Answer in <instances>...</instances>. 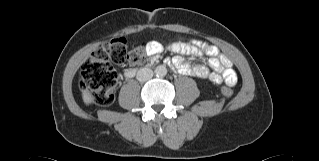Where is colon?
<instances>
[{
	"instance_id": "5ec220e1",
	"label": "colon",
	"mask_w": 319,
	"mask_h": 161,
	"mask_svg": "<svg viewBox=\"0 0 319 161\" xmlns=\"http://www.w3.org/2000/svg\"><path fill=\"white\" fill-rule=\"evenodd\" d=\"M149 49L139 46L128 52L124 37H114L95 50L83 63L80 88L90 93L101 105H109L115 99L118 76L113 65L126 62L141 63L146 61ZM221 93L226 97L233 95L230 85L222 86Z\"/></svg>"
}]
</instances>
